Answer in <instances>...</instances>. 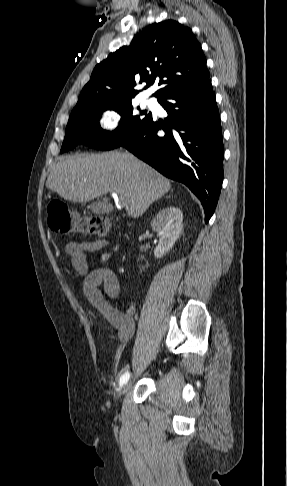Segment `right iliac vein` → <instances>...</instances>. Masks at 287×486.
<instances>
[{"mask_svg":"<svg viewBox=\"0 0 287 486\" xmlns=\"http://www.w3.org/2000/svg\"><path fill=\"white\" fill-rule=\"evenodd\" d=\"M130 386H131V382H128L125 385H123L122 388L120 389V394H124L125 392H127Z\"/></svg>","mask_w":287,"mask_h":486,"instance_id":"right-iliac-vein-1","label":"right iliac vein"}]
</instances>
